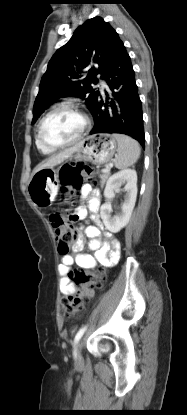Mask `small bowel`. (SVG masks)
Instances as JSON below:
<instances>
[{
    "instance_id": "1",
    "label": "small bowel",
    "mask_w": 187,
    "mask_h": 415,
    "mask_svg": "<svg viewBox=\"0 0 187 415\" xmlns=\"http://www.w3.org/2000/svg\"><path fill=\"white\" fill-rule=\"evenodd\" d=\"M82 199L88 200V209L79 206L75 210V220L85 218L87 211L91 212V219L94 225L79 229L77 237L72 245L71 253L61 257L59 273L61 275L60 290L65 296L73 295L76 288L70 279V268L76 262L77 265L84 269H93L98 263L103 265H114L120 256V242L110 232L103 231L99 207L101 203L100 191L89 184H85L80 189ZM88 238V247L94 252V255L83 253L85 239Z\"/></svg>"
}]
</instances>
